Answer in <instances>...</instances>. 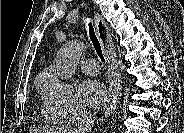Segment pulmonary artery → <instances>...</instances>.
Here are the masks:
<instances>
[{"label": "pulmonary artery", "instance_id": "pulmonary-artery-1", "mask_svg": "<svg viewBox=\"0 0 184 133\" xmlns=\"http://www.w3.org/2000/svg\"><path fill=\"white\" fill-rule=\"evenodd\" d=\"M81 69L84 73L88 75H96L99 71L98 63L93 58L85 59L81 63Z\"/></svg>", "mask_w": 184, "mask_h": 133}]
</instances>
